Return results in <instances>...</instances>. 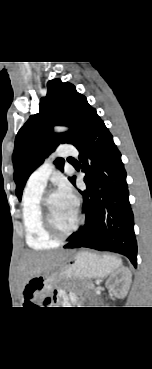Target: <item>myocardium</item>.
Listing matches in <instances>:
<instances>
[{"label": "myocardium", "instance_id": "1", "mask_svg": "<svg viewBox=\"0 0 152 369\" xmlns=\"http://www.w3.org/2000/svg\"><path fill=\"white\" fill-rule=\"evenodd\" d=\"M51 194L53 193L46 194L41 199L40 206H41V211H42V220H43V225L45 227V230L48 232V234L52 238L59 241V240L66 239L69 236H71L73 233H75L80 227L83 217L80 214L79 209L76 208V220L73 226L67 231L59 230L54 222L52 212L49 206V199H50Z\"/></svg>", "mask_w": 152, "mask_h": 369}]
</instances>
